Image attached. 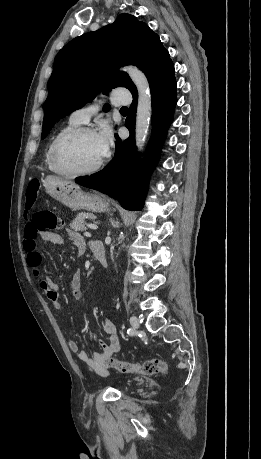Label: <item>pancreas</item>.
I'll return each instance as SVG.
<instances>
[{
    "instance_id": "cf45deb5",
    "label": "pancreas",
    "mask_w": 261,
    "mask_h": 459,
    "mask_svg": "<svg viewBox=\"0 0 261 459\" xmlns=\"http://www.w3.org/2000/svg\"><path fill=\"white\" fill-rule=\"evenodd\" d=\"M94 215L91 213L81 212L78 213L76 218L70 223V228L74 231H84L85 227V220L86 219H93Z\"/></svg>"
}]
</instances>
